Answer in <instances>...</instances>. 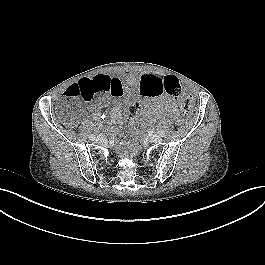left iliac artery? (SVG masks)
<instances>
[{
  "label": "left iliac artery",
  "instance_id": "left-iliac-artery-1",
  "mask_svg": "<svg viewBox=\"0 0 265 265\" xmlns=\"http://www.w3.org/2000/svg\"><path fill=\"white\" fill-rule=\"evenodd\" d=\"M158 133H159V135H160L161 137H164V136H165L164 131H158Z\"/></svg>",
  "mask_w": 265,
  "mask_h": 265
}]
</instances>
